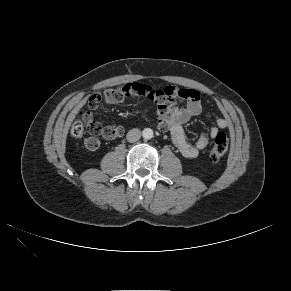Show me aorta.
Returning <instances> with one entry per match:
<instances>
[{"label": "aorta", "mask_w": 291, "mask_h": 291, "mask_svg": "<svg viewBox=\"0 0 291 291\" xmlns=\"http://www.w3.org/2000/svg\"><path fill=\"white\" fill-rule=\"evenodd\" d=\"M142 136L144 139L146 140H149L151 139L154 134H153V130L151 128H145L143 131H142Z\"/></svg>", "instance_id": "1"}]
</instances>
